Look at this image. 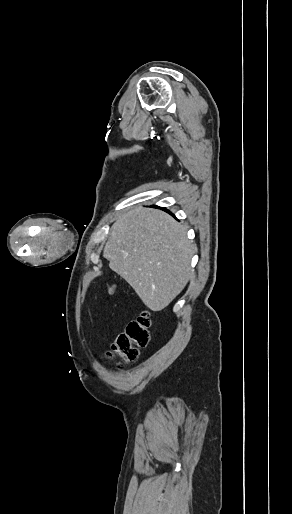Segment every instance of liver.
<instances>
[{"instance_id": "obj_1", "label": "liver", "mask_w": 292, "mask_h": 514, "mask_svg": "<svg viewBox=\"0 0 292 514\" xmlns=\"http://www.w3.org/2000/svg\"><path fill=\"white\" fill-rule=\"evenodd\" d=\"M195 250L184 226L169 214L132 208L113 224L103 256L147 308L160 312L189 282Z\"/></svg>"}]
</instances>
